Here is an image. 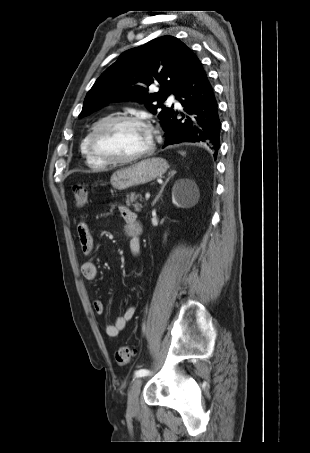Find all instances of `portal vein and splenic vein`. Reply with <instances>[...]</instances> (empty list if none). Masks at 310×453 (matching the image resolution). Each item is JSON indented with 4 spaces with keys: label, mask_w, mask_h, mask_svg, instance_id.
<instances>
[{
    "label": "portal vein and splenic vein",
    "mask_w": 310,
    "mask_h": 453,
    "mask_svg": "<svg viewBox=\"0 0 310 453\" xmlns=\"http://www.w3.org/2000/svg\"><path fill=\"white\" fill-rule=\"evenodd\" d=\"M150 198V193L145 194V199L148 200Z\"/></svg>",
    "instance_id": "portal-vein-and-splenic-vein-1"
}]
</instances>
